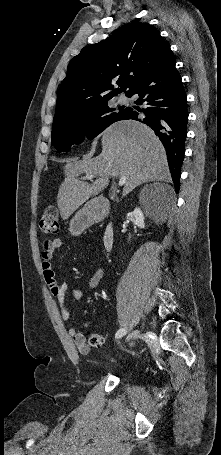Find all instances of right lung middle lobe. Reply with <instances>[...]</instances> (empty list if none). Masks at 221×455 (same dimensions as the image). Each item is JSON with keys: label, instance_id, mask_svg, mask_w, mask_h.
<instances>
[{"label": "right lung middle lobe", "instance_id": "obj_1", "mask_svg": "<svg viewBox=\"0 0 221 455\" xmlns=\"http://www.w3.org/2000/svg\"><path fill=\"white\" fill-rule=\"evenodd\" d=\"M128 109L116 113L108 106V101H105L53 123L52 145L58 152H67L73 144H80L84 137L91 140L110 124L122 120Z\"/></svg>", "mask_w": 221, "mask_h": 455}]
</instances>
